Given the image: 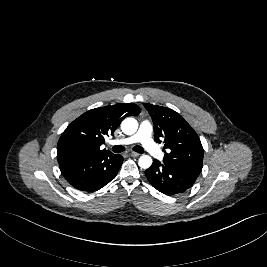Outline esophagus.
Returning <instances> with one entry per match:
<instances>
[{"instance_id": "34e87169", "label": "esophagus", "mask_w": 267, "mask_h": 267, "mask_svg": "<svg viewBox=\"0 0 267 267\" xmlns=\"http://www.w3.org/2000/svg\"><path fill=\"white\" fill-rule=\"evenodd\" d=\"M130 154H131V156H133V157H138V156H140V154L137 153V152H131Z\"/></svg>"}]
</instances>
